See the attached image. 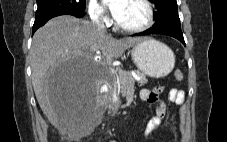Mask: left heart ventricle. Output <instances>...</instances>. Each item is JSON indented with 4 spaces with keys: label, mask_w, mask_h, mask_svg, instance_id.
<instances>
[{
    "label": "left heart ventricle",
    "mask_w": 227,
    "mask_h": 142,
    "mask_svg": "<svg viewBox=\"0 0 227 142\" xmlns=\"http://www.w3.org/2000/svg\"><path fill=\"white\" fill-rule=\"evenodd\" d=\"M146 19V9L140 0H126L121 14L116 20L124 26H138Z\"/></svg>",
    "instance_id": "b2bd125f"
}]
</instances>
